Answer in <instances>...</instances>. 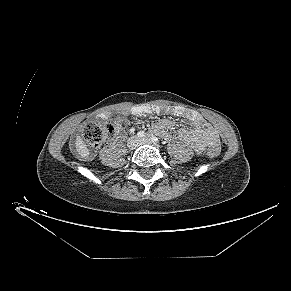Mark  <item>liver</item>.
<instances>
[{
  "mask_svg": "<svg viewBox=\"0 0 291 291\" xmlns=\"http://www.w3.org/2000/svg\"><path fill=\"white\" fill-rule=\"evenodd\" d=\"M89 123H92V121L85 122L84 125L80 128L79 134H77L76 139L74 141V145L71 148L73 155H75V158L81 161H92L93 159H95L97 155L95 150L93 152L92 151L93 149L89 148V143H88L89 140L85 139L84 137L85 132H86L84 129Z\"/></svg>",
  "mask_w": 291,
  "mask_h": 291,
  "instance_id": "6515ba94",
  "label": "liver"
}]
</instances>
